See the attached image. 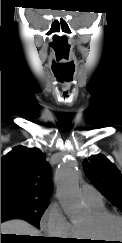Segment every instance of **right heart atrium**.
Instances as JSON below:
<instances>
[{"label": "right heart atrium", "instance_id": "right-heart-atrium-1", "mask_svg": "<svg viewBox=\"0 0 122 243\" xmlns=\"http://www.w3.org/2000/svg\"><path fill=\"white\" fill-rule=\"evenodd\" d=\"M41 228L48 236L54 238L67 239L74 235V226L57 203L50 204L46 209L41 220Z\"/></svg>", "mask_w": 122, "mask_h": 243}]
</instances>
